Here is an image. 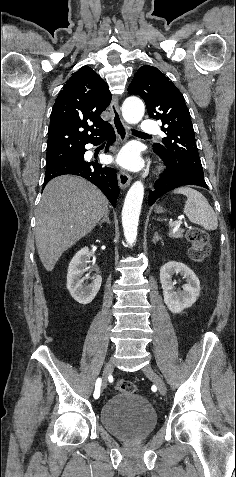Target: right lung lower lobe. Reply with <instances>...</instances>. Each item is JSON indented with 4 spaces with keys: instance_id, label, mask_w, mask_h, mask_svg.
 Instances as JSON below:
<instances>
[{
    "instance_id": "right-lung-lower-lobe-1",
    "label": "right lung lower lobe",
    "mask_w": 236,
    "mask_h": 477,
    "mask_svg": "<svg viewBox=\"0 0 236 477\" xmlns=\"http://www.w3.org/2000/svg\"><path fill=\"white\" fill-rule=\"evenodd\" d=\"M106 139L108 140L106 151H108L109 145H111L115 139V133L111 125L102 136L90 143L97 145ZM85 152L86 149L84 147L77 154L78 158L76 161H70L56 166L46 167L43 187L51 179L60 175L71 174L81 176L95 184L115 207L116 199L119 196V187L115 170L113 168L99 164L97 160L86 162L84 160Z\"/></svg>"
}]
</instances>
